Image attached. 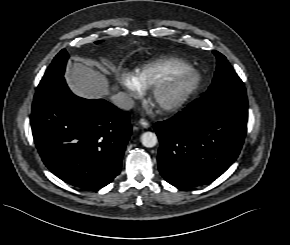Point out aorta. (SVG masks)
I'll list each match as a JSON object with an SVG mask.
<instances>
[{
  "label": "aorta",
  "mask_w": 290,
  "mask_h": 245,
  "mask_svg": "<svg viewBox=\"0 0 290 245\" xmlns=\"http://www.w3.org/2000/svg\"><path fill=\"white\" fill-rule=\"evenodd\" d=\"M157 136L153 132H144L141 135V143L147 148H152L157 144Z\"/></svg>",
  "instance_id": "1"
}]
</instances>
